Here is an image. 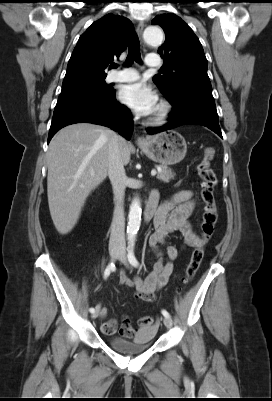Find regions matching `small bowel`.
Here are the masks:
<instances>
[{"label":"small bowel","instance_id":"small-bowel-1","mask_svg":"<svg viewBox=\"0 0 272 401\" xmlns=\"http://www.w3.org/2000/svg\"><path fill=\"white\" fill-rule=\"evenodd\" d=\"M156 193V192H152ZM195 202L191 191L183 190L172 198L163 202L155 212V232L149 238V244L154 249L158 261L153 270L142 280L139 277L129 278L124 271L120 272V284L124 287H134L136 292L134 298L137 300L152 302L155 300L156 292L167 284L173 271V262L178 258V250L175 246L167 244V238L172 233H180L189 247H195L201 242V238L193 230L189 218L194 210ZM165 246V253L160 249ZM164 254L166 260H164ZM104 312L101 306L97 307ZM153 323L146 325L140 323L136 328L128 317H124L120 326L116 319H109L103 323V332L106 335L119 333L126 339H135L144 335L147 331L155 330Z\"/></svg>","mask_w":272,"mask_h":401}]
</instances>
